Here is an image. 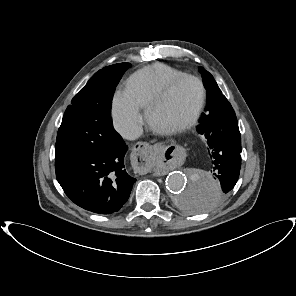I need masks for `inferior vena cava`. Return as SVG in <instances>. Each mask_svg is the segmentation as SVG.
Returning <instances> with one entry per match:
<instances>
[{
	"instance_id": "602c4592",
	"label": "inferior vena cava",
	"mask_w": 296,
	"mask_h": 296,
	"mask_svg": "<svg viewBox=\"0 0 296 296\" xmlns=\"http://www.w3.org/2000/svg\"><path fill=\"white\" fill-rule=\"evenodd\" d=\"M142 133H143V128L138 124H132V125L126 126L120 131L121 136L127 140H134L140 137Z\"/></svg>"
}]
</instances>
